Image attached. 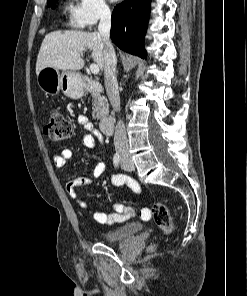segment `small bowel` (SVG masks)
<instances>
[{
  "instance_id": "1",
  "label": "small bowel",
  "mask_w": 247,
  "mask_h": 296,
  "mask_svg": "<svg viewBox=\"0 0 247 296\" xmlns=\"http://www.w3.org/2000/svg\"><path fill=\"white\" fill-rule=\"evenodd\" d=\"M78 123L83 127L85 134L82 138V143L85 147L89 149L97 148V129L93 125V123L88 119L85 115L78 116ZM71 150L65 148L61 151L60 154L54 155L53 162L57 168H63L68 160L71 158ZM106 169V165L104 162L98 160L96 161L93 168V177H100ZM65 180V188L67 194L77 200L80 207L86 210L91 217L99 224L111 226L118 223H123L129 220L133 216V209L130 207L124 206L120 202L112 203V213H105L102 211L92 210L84 201L80 200L77 196L76 189L81 186H89L93 182V178L89 176H79L76 178H69L64 176ZM110 183L113 186H128L132 191L136 193L141 192V188L139 184L127 175H117L114 174L110 177ZM143 213H149L148 209H143L141 215ZM147 219V218H146Z\"/></svg>"
}]
</instances>
